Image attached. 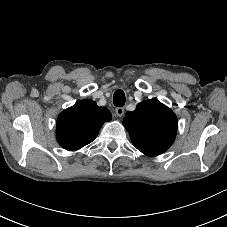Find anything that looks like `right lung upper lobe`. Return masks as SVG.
Segmentation results:
<instances>
[{"label": "right lung upper lobe", "instance_id": "obj_1", "mask_svg": "<svg viewBox=\"0 0 227 227\" xmlns=\"http://www.w3.org/2000/svg\"><path fill=\"white\" fill-rule=\"evenodd\" d=\"M111 120L105 107L91 100H82L64 110L57 119L56 139L66 150L76 151L91 143L104 122Z\"/></svg>", "mask_w": 227, "mask_h": 227}]
</instances>
